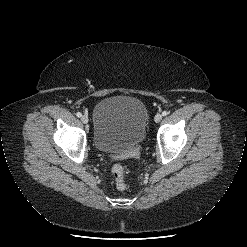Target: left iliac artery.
<instances>
[{"label":"left iliac artery","mask_w":247,"mask_h":247,"mask_svg":"<svg viewBox=\"0 0 247 247\" xmlns=\"http://www.w3.org/2000/svg\"><path fill=\"white\" fill-rule=\"evenodd\" d=\"M162 115H163V116H166V115H168V112H167V111H163V112H162Z\"/></svg>","instance_id":"left-iliac-artery-1"}]
</instances>
